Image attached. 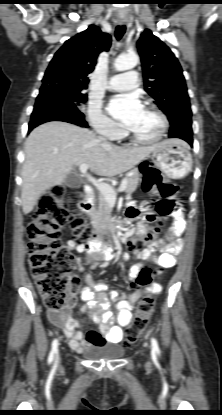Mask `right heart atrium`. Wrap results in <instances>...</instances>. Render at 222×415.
<instances>
[{
	"instance_id": "d8ad5b80",
	"label": "right heart atrium",
	"mask_w": 222,
	"mask_h": 415,
	"mask_svg": "<svg viewBox=\"0 0 222 415\" xmlns=\"http://www.w3.org/2000/svg\"><path fill=\"white\" fill-rule=\"evenodd\" d=\"M87 119L94 131L101 136L114 140L121 134L119 126L95 104L88 107Z\"/></svg>"
}]
</instances>
